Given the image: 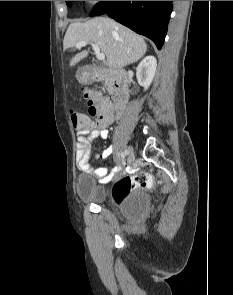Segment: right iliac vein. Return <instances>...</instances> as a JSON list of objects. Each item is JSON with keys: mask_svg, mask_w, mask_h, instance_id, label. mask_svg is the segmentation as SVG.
<instances>
[{"mask_svg": "<svg viewBox=\"0 0 233 295\" xmlns=\"http://www.w3.org/2000/svg\"><path fill=\"white\" fill-rule=\"evenodd\" d=\"M135 158L134 150L132 147L128 148V157H127V163L131 164Z\"/></svg>", "mask_w": 233, "mask_h": 295, "instance_id": "right-iliac-vein-1", "label": "right iliac vein"}]
</instances>
